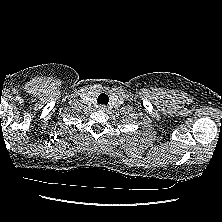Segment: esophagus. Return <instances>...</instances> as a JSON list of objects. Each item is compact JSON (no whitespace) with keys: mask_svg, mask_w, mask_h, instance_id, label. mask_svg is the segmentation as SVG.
<instances>
[{"mask_svg":"<svg viewBox=\"0 0 222 222\" xmlns=\"http://www.w3.org/2000/svg\"><path fill=\"white\" fill-rule=\"evenodd\" d=\"M99 109L102 110V111H105L107 109V107L105 105H100Z\"/></svg>","mask_w":222,"mask_h":222,"instance_id":"esophagus-1","label":"esophagus"}]
</instances>
